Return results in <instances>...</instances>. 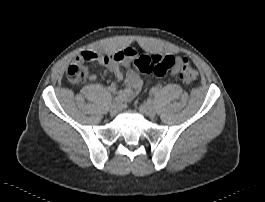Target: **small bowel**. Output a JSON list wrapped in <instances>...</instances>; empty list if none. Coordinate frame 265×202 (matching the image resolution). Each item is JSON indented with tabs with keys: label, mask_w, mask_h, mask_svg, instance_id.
Listing matches in <instances>:
<instances>
[{
	"label": "small bowel",
	"mask_w": 265,
	"mask_h": 202,
	"mask_svg": "<svg viewBox=\"0 0 265 202\" xmlns=\"http://www.w3.org/2000/svg\"><path fill=\"white\" fill-rule=\"evenodd\" d=\"M126 51L133 52L132 49H128ZM120 53H122V51H119L113 55H106L85 50L80 52L75 57L74 63L83 66L85 63L97 62L106 67V69L115 77V81L107 87V90L113 94L117 93L123 101H130L141 91L143 87V80L133 70L130 69L132 55H124L122 58L118 59L117 55ZM175 60L176 64L171 72L173 77H175L180 71V62L182 58L176 57ZM121 68L127 70L125 74L122 73ZM84 76L88 81L96 80V75L89 72L87 69H85ZM123 80L125 82V87L119 90L118 83Z\"/></svg>",
	"instance_id": "c3829d8e"
}]
</instances>
